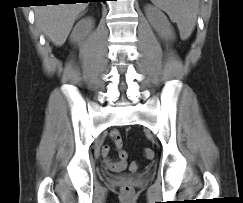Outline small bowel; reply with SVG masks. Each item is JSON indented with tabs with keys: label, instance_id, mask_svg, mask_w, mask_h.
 Returning a JSON list of instances; mask_svg holds the SVG:
<instances>
[{
	"label": "small bowel",
	"instance_id": "1",
	"mask_svg": "<svg viewBox=\"0 0 243 203\" xmlns=\"http://www.w3.org/2000/svg\"><path fill=\"white\" fill-rule=\"evenodd\" d=\"M110 138L117 149L122 147V138L117 130H113L110 132ZM111 146L109 144H105L101 148V155L104 159L105 165L113 172H122L126 168V158L123 159L120 157L119 152V160L115 161L110 157ZM137 168L136 163H132L130 165V169L135 170Z\"/></svg>",
	"mask_w": 243,
	"mask_h": 203
}]
</instances>
